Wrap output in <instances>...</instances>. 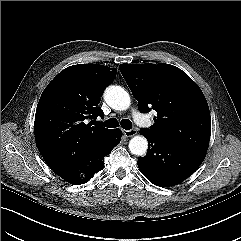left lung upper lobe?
I'll list each match as a JSON object with an SVG mask.
<instances>
[{
	"instance_id": "obj_1",
	"label": "left lung upper lobe",
	"mask_w": 241,
	"mask_h": 241,
	"mask_svg": "<svg viewBox=\"0 0 241 241\" xmlns=\"http://www.w3.org/2000/svg\"><path fill=\"white\" fill-rule=\"evenodd\" d=\"M143 113L157 112L150 129L141 131L166 142L206 152L211 134L207 101L196 83L179 68L165 63L120 64Z\"/></svg>"
}]
</instances>
